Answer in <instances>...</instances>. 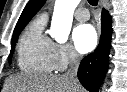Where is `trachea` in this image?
<instances>
[{
  "label": "trachea",
  "mask_w": 127,
  "mask_h": 92,
  "mask_svg": "<svg viewBox=\"0 0 127 92\" xmlns=\"http://www.w3.org/2000/svg\"><path fill=\"white\" fill-rule=\"evenodd\" d=\"M89 4L92 5V6H97L98 4V0H88Z\"/></svg>",
  "instance_id": "trachea-1"
}]
</instances>
